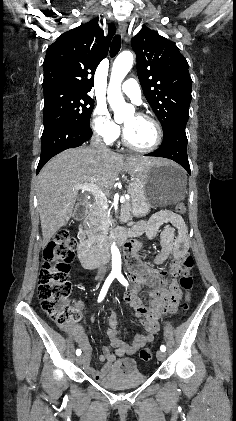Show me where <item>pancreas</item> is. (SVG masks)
<instances>
[{
  "instance_id": "cf45deb5",
  "label": "pancreas",
  "mask_w": 236,
  "mask_h": 421,
  "mask_svg": "<svg viewBox=\"0 0 236 421\" xmlns=\"http://www.w3.org/2000/svg\"><path fill=\"white\" fill-rule=\"evenodd\" d=\"M108 215V208H104L99 202H94L89 213L86 215L83 225H80L79 227L80 237L91 245L89 249L90 251H93V253L99 251L102 247V243L108 239L107 235L110 231V225H112V221ZM119 219L121 223H127L128 227L134 225L132 221L130 198H126L123 204H121V215Z\"/></svg>"
}]
</instances>
